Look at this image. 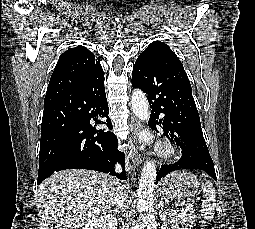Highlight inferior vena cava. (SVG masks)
I'll return each instance as SVG.
<instances>
[{
	"label": "inferior vena cava",
	"instance_id": "602c4592",
	"mask_svg": "<svg viewBox=\"0 0 255 229\" xmlns=\"http://www.w3.org/2000/svg\"><path fill=\"white\" fill-rule=\"evenodd\" d=\"M115 170H116V172H121L122 171L121 165L116 164L115 165ZM127 202H128V195H127V192L125 190V186L122 185L116 191L115 204H116V206L119 210L124 211L125 209L128 208V203Z\"/></svg>",
	"mask_w": 255,
	"mask_h": 229
}]
</instances>
